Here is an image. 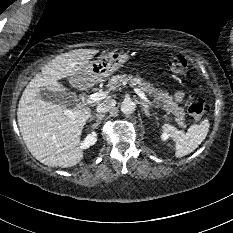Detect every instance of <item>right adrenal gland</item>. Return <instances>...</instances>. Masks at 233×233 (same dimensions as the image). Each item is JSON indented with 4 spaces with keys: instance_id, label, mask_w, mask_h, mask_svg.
I'll return each mask as SVG.
<instances>
[{
    "instance_id": "obj_1",
    "label": "right adrenal gland",
    "mask_w": 233,
    "mask_h": 233,
    "mask_svg": "<svg viewBox=\"0 0 233 233\" xmlns=\"http://www.w3.org/2000/svg\"><path fill=\"white\" fill-rule=\"evenodd\" d=\"M104 116V114H95L90 117L89 121H92L94 118H97L96 123L93 124V127H97L100 124L101 120L104 118Z\"/></svg>"
}]
</instances>
